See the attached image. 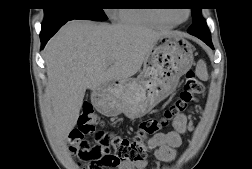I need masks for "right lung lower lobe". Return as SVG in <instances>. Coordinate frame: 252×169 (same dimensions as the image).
<instances>
[{"label": "right lung lower lobe", "mask_w": 252, "mask_h": 169, "mask_svg": "<svg viewBox=\"0 0 252 169\" xmlns=\"http://www.w3.org/2000/svg\"><path fill=\"white\" fill-rule=\"evenodd\" d=\"M66 23V22H65ZM60 23L50 28H42L40 33L41 48L45 46L47 41L65 24Z\"/></svg>", "instance_id": "obj_1"}]
</instances>
